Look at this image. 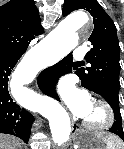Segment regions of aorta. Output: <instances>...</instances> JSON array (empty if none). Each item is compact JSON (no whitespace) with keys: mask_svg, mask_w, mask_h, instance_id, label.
I'll return each mask as SVG.
<instances>
[{"mask_svg":"<svg viewBox=\"0 0 124 149\" xmlns=\"http://www.w3.org/2000/svg\"><path fill=\"white\" fill-rule=\"evenodd\" d=\"M89 22L86 12L78 11L62 20L25 58L15 76L24 82L37 68L39 60L47 51L61 56L67 55L78 44L77 31ZM43 115L49 120L52 139L55 144L67 142L71 132L70 118L65 109L56 101L46 98Z\"/></svg>","mask_w":124,"mask_h":149,"instance_id":"762f6f07","label":"aorta"}]
</instances>
